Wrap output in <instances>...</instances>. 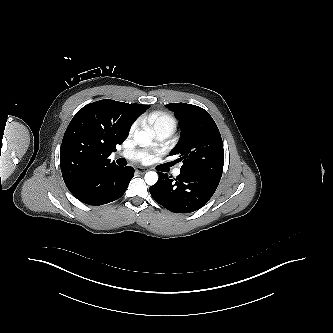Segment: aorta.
Instances as JSON below:
<instances>
[{"mask_svg":"<svg viewBox=\"0 0 333 333\" xmlns=\"http://www.w3.org/2000/svg\"><path fill=\"white\" fill-rule=\"evenodd\" d=\"M153 136V131L148 132L136 130L134 133V141L142 146H147L150 144ZM144 179L148 185H154L158 181V174L154 171H149L145 174Z\"/></svg>","mask_w":333,"mask_h":333,"instance_id":"762f6f07","label":"aorta"}]
</instances>
